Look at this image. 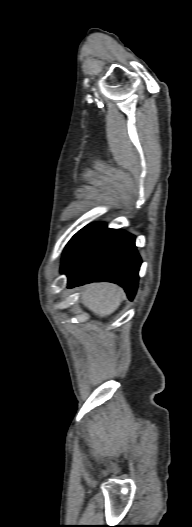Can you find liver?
Instances as JSON below:
<instances>
[{"label":"liver","mask_w":192,"mask_h":527,"mask_svg":"<svg viewBox=\"0 0 192 527\" xmlns=\"http://www.w3.org/2000/svg\"><path fill=\"white\" fill-rule=\"evenodd\" d=\"M124 291L112 283H92L82 294V303L99 317L112 314L120 305Z\"/></svg>","instance_id":"obj_1"}]
</instances>
